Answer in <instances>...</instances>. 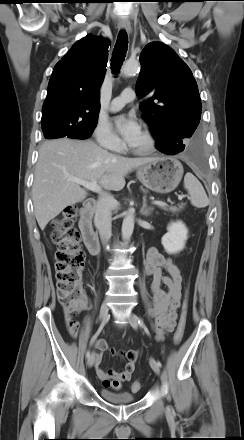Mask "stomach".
Returning <instances> with one entry per match:
<instances>
[{
  "mask_svg": "<svg viewBox=\"0 0 244 440\" xmlns=\"http://www.w3.org/2000/svg\"><path fill=\"white\" fill-rule=\"evenodd\" d=\"M184 170L175 157L160 156L155 161L137 169V178L148 189L169 193L180 183Z\"/></svg>",
  "mask_w": 244,
  "mask_h": 440,
  "instance_id": "stomach-1",
  "label": "stomach"
}]
</instances>
